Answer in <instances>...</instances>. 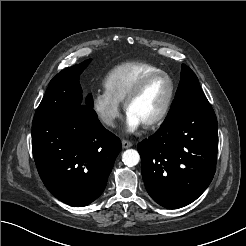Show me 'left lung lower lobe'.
I'll return each instance as SVG.
<instances>
[{"instance_id": "obj_1", "label": "left lung lower lobe", "mask_w": 246, "mask_h": 246, "mask_svg": "<svg viewBox=\"0 0 246 246\" xmlns=\"http://www.w3.org/2000/svg\"><path fill=\"white\" fill-rule=\"evenodd\" d=\"M137 148L151 198L169 209L190 204L208 187L216 169L217 119L210 103L165 119Z\"/></svg>"}]
</instances>
